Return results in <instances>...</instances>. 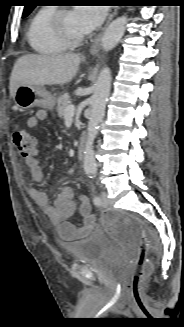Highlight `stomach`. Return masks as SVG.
<instances>
[{
  "label": "stomach",
  "instance_id": "1",
  "mask_svg": "<svg viewBox=\"0 0 184 327\" xmlns=\"http://www.w3.org/2000/svg\"><path fill=\"white\" fill-rule=\"evenodd\" d=\"M13 100L18 109H29L37 106L53 110L56 103L55 97L43 86L33 85H19Z\"/></svg>",
  "mask_w": 184,
  "mask_h": 327
}]
</instances>
